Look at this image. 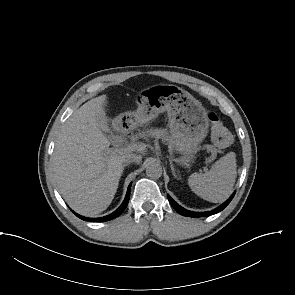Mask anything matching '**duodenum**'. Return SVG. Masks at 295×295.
I'll use <instances>...</instances> for the list:
<instances>
[{"label": "duodenum", "instance_id": "410a0bca", "mask_svg": "<svg viewBox=\"0 0 295 295\" xmlns=\"http://www.w3.org/2000/svg\"><path fill=\"white\" fill-rule=\"evenodd\" d=\"M117 135L120 137L121 143H126L129 140L130 133L126 121H121L117 126Z\"/></svg>", "mask_w": 295, "mask_h": 295}]
</instances>
